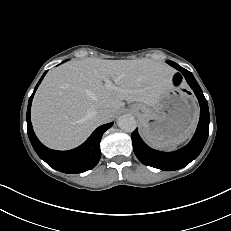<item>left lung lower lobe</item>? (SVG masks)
Instances as JSON below:
<instances>
[{
  "instance_id": "obj_1",
  "label": "left lung lower lobe",
  "mask_w": 231,
  "mask_h": 231,
  "mask_svg": "<svg viewBox=\"0 0 231 231\" xmlns=\"http://www.w3.org/2000/svg\"><path fill=\"white\" fill-rule=\"evenodd\" d=\"M178 70L185 76L200 104V120L191 141L177 151L160 152L148 147L139 136L137 129L131 135L136 157L145 165L165 171L181 169L194 160L202 151L209 134L210 116L207 100L192 73L182 67Z\"/></svg>"
}]
</instances>
